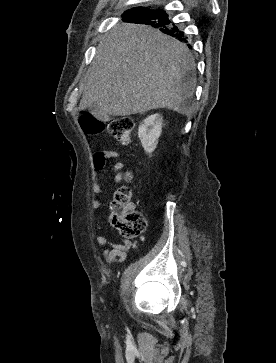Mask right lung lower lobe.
<instances>
[{
  "instance_id": "98d812e1",
  "label": "right lung lower lobe",
  "mask_w": 276,
  "mask_h": 363,
  "mask_svg": "<svg viewBox=\"0 0 276 363\" xmlns=\"http://www.w3.org/2000/svg\"><path fill=\"white\" fill-rule=\"evenodd\" d=\"M123 21L139 24H148L159 28L163 33L171 35L180 41L185 40V35L175 23L171 22L168 14L161 8L149 9L137 16L122 17Z\"/></svg>"
}]
</instances>
